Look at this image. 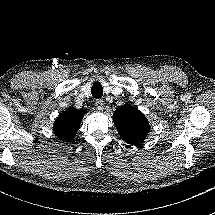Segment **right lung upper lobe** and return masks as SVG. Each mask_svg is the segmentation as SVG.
Masks as SVG:
<instances>
[{
    "label": "right lung upper lobe",
    "mask_w": 215,
    "mask_h": 215,
    "mask_svg": "<svg viewBox=\"0 0 215 215\" xmlns=\"http://www.w3.org/2000/svg\"><path fill=\"white\" fill-rule=\"evenodd\" d=\"M86 113L87 110L85 109H67L55 120L53 126L54 133L64 141L72 140L75 137L81 120Z\"/></svg>",
    "instance_id": "1"
}]
</instances>
